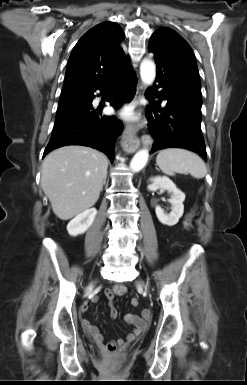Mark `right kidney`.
<instances>
[{"instance_id": "ca27d5eb", "label": "right kidney", "mask_w": 247, "mask_h": 385, "mask_svg": "<svg viewBox=\"0 0 247 385\" xmlns=\"http://www.w3.org/2000/svg\"><path fill=\"white\" fill-rule=\"evenodd\" d=\"M97 210L95 208L87 209L72 219L67 225V231L71 236H77L85 233L92 225Z\"/></svg>"}]
</instances>
